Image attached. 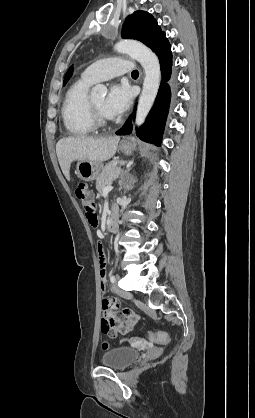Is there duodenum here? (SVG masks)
Instances as JSON below:
<instances>
[{
	"instance_id": "duodenum-1",
	"label": "duodenum",
	"mask_w": 255,
	"mask_h": 418,
	"mask_svg": "<svg viewBox=\"0 0 255 418\" xmlns=\"http://www.w3.org/2000/svg\"><path fill=\"white\" fill-rule=\"evenodd\" d=\"M119 228L118 210L113 208L106 222V229L109 232H116Z\"/></svg>"
}]
</instances>
